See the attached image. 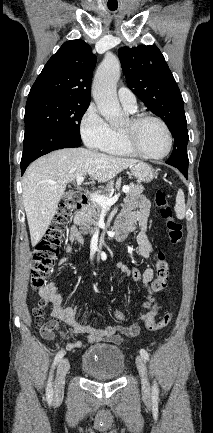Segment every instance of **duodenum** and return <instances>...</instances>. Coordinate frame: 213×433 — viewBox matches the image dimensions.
I'll return each instance as SVG.
<instances>
[{
	"label": "duodenum",
	"instance_id": "410a0bca",
	"mask_svg": "<svg viewBox=\"0 0 213 433\" xmlns=\"http://www.w3.org/2000/svg\"><path fill=\"white\" fill-rule=\"evenodd\" d=\"M87 203H88V198H86L85 201L83 202L81 209H83ZM129 231H132V230L130 228H128L127 226H124V225L116 226L114 229V232H113L112 236L109 238V240L113 241V242H121L126 237V235Z\"/></svg>",
	"mask_w": 213,
	"mask_h": 433
}]
</instances>
